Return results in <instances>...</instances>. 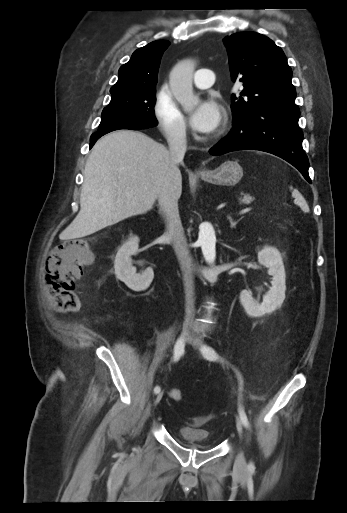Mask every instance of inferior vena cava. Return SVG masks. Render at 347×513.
Instances as JSON below:
<instances>
[{"instance_id": "602c4592", "label": "inferior vena cava", "mask_w": 347, "mask_h": 513, "mask_svg": "<svg viewBox=\"0 0 347 513\" xmlns=\"http://www.w3.org/2000/svg\"><path fill=\"white\" fill-rule=\"evenodd\" d=\"M169 145V153L171 164L174 169L183 161L187 140L184 130H176L171 132L167 137ZM178 194L172 183L165 184L158 194V203L160 212L164 214L169 224V234L172 238L175 253L180 261L182 271L184 273V285L186 293V313L192 315L194 311L193 300V276L191 269V257L187 248L186 239L183 235L181 221L178 210Z\"/></svg>"}]
</instances>
